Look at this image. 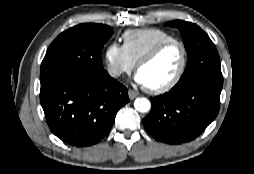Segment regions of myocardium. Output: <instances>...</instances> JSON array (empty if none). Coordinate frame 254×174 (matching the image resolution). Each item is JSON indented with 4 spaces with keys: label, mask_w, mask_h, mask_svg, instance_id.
Returning <instances> with one entry per match:
<instances>
[{
    "label": "myocardium",
    "mask_w": 254,
    "mask_h": 174,
    "mask_svg": "<svg viewBox=\"0 0 254 174\" xmlns=\"http://www.w3.org/2000/svg\"><path fill=\"white\" fill-rule=\"evenodd\" d=\"M174 44L178 45L182 51V60H181V64H180V67H179L177 73L168 83H166L160 87L152 88V87L146 86L145 88L149 93L156 94V95L166 93V92L170 91L171 89H173L180 82V80L182 79V77L185 73L186 67H187V62H188L187 48L181 40L171 39V40L162 42V43L158 44L157 46H155L153 49H151L145 56H143L137 62L136 70L138 72V70L142 66L152 62L164 49H166L167 47L174 45Z\"/></svg>",
    "instance_id": "f54148a6"
}]
</instances>
